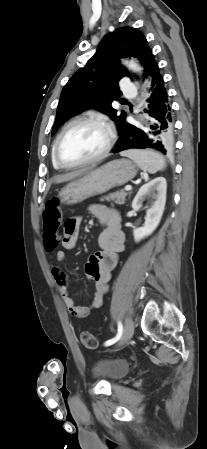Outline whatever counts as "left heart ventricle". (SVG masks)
<instances>
[{
	"mask_svg": "<svg viewBox=\"0 0 207 449\" xmlns=\"http://www.w3.org/2000/svg\"><path fill=\"white\" fill-rule=\"evenodd\" d=\"M107 142L106 131L96 125L79 124L72 127L63 137L59 153L68 163L88 160L98 155Z\"/></svg>",
	"mask_w": 207,
	"mask_h": 449,
	"instance_id": "left-heart-ventricle-1",
	"label": "left heart ventricle"
}]
</instances>
